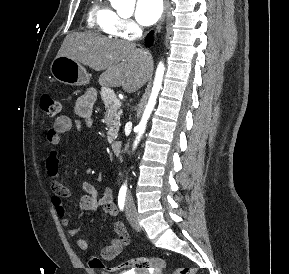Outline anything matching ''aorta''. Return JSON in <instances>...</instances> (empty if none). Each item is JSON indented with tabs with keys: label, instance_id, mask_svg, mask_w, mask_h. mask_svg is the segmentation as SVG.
<instances>
[{
	"label": "aorta",
	"instance_id": "762f6f07",
	"mask_svg": "<svg viewBox=\"0 0 289 274\" xmlns=\"http://www.w3.org/2000/svg\"><path fill=\"white\" fill-rule=\"evenodd\" d=\"M110 1H111V4L114 8L121 9V8L130 6L131 2L134 0H110ZM164 69L165 68H164L163 63H159L158 68L156 70L153 88H152V92H151L148 104L145 108L142 119H141L139 125L137 126L138 135H137L136 140L134 142V147L138 144L142 134L145 132L147 121L150 117L151 112L154 109L157 96H158L159 91H160L161 86H162Z\"/></svg>",
	"mask_w": 289,
	"mask_h": 274
}]
</instances>
